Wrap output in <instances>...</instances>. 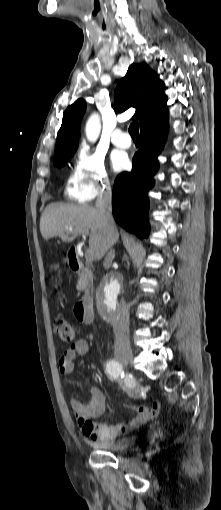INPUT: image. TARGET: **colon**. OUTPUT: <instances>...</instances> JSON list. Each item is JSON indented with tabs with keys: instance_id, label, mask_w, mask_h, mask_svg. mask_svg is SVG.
I'll return each instance as SVG.
<instances>
[{
	"instance_id": "colon-1",
	"label": "colon",
	"mask_w": 221,
	"mask_h": 510,
	"mask_svg": "<svg viewBox=\"0 0 221 510\" xmlns=\"http://www.w3.org/2000/svg\"><path fill=\"white\" fill-rule=\"evenodd\" d=\"M52 269L56 271L58 270V266L53 265ZM53 330L56 336L65 344L73 343L78 335V326L64 318H57L54 320Z\"/></svg>"
}]
</instances>
